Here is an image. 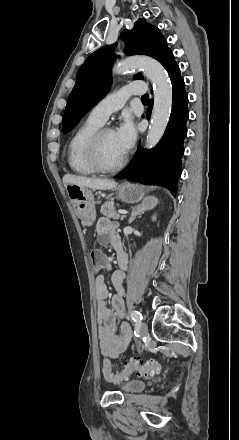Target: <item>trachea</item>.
I'll use <instances>...</instances> for the list:
<instances>
[{
    "instance_id": "obj_1",
    "label": "trachea",
    "mask_w": 239,
    "mask_h": 440,
    "mask_svg": "<svg viewBox=\"0 0 239 440\" xmlns=\"http://www.w3.org/2000/svg\"><path fill=\"white\" fill-rule=\"evenodd\" d=\"M141 99H142L143 103H145L149 99V96L147 94H145L141 97Z\"/></svg>"
}]
</instances>
